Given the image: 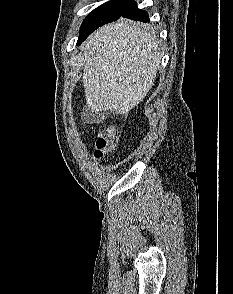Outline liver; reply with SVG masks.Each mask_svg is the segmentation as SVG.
Here are the masks:
<instances>
[{
    "label": "liver",
    "instance_id": "obj_1",
    "mask_svg": "<svg viewBox=\"0 0 233 294\" xmlns=\"http://www.w3.org/2000/svg\"><path fill=\"white\" fill-rule=\"evenodd\" d=\"M81 49L86 105L95 113L128 115L146 97L160 68L157 36L126 19L99 28Z\"/></svg>",
    "mask_w": 233,
    "mask_h": 294
}]
</instances>
